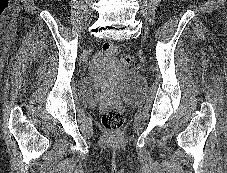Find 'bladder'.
<instances>
[{
  "mask_svg": "<svg viewBox=\"0 0 227 173\" xmlns=\"http://www.w3.org/2000/svg\"><path fill=\"white\" fill-rule=\"evenodd\" d=\"M112 90L128 103L140 101L145 92V85L141 78L127 75L113 85H104L91 78H84L78 88L79 97L83 104L92 106L104 94Z\"/></svg>",
  "mask_w": 227,
  "mask_h": 173,
  "instance_id": "obj_1",
  "label": "bladder"
}]
</instances>
